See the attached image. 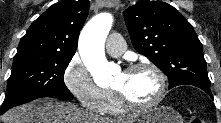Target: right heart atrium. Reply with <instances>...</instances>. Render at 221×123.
<instances>
[{"instance_id":"1","label":"right heart atrium","mask_w":221,"mask_h":123,"mask_svg":"<svg viewBox=\"0 0 221 123\" xmlns=\"http://www.w3.org/2000/svg\"><path fill=\"white\" fill-rule=\"evenodd\" d=\"M64 83L85 108L103 113L109 92L95 84L92 76L78 57H73L65 68Z\"/></svg>"}]
</instances>
